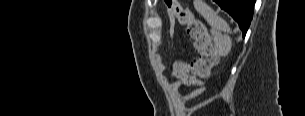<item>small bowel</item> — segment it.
<instances>
[{"label": "small bowel", "instance_id": "obj_1", "mask_svg": "<svg viewBox=\"0 0 305 116\" xmlns=\"http://www.w3.org/2000/svg\"><path fill=\"white\" fill-rule=\"evenodd\" d=\"M197 95H198V92H197V91H193V92L189 93V94L186 96V99H193V98H195ZM201 106H202V104L196 106V107L194 108V110H197V109L200 108Z\"/></svg>", "mask_w": 305, "mask_h": 116}]
</instances>
